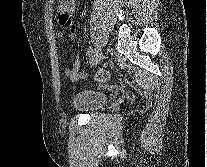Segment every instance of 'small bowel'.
Returning <instances> with one entry per match:
<instances>
[{"instance_id": "obj_1", "label": "small bowel", "mask_w": 207, "mask_h": 167, "mask_svg": "<svg viewBox=\"0 0 207 167\" xmlns=\"http://www.w3.org/2000/svg\"><path fill=\"white\" fill-rule=\"evenodd\" d=\"M76 2L77 0H58L57 3V22L61 25L66 27L69 30L70 37L73 40L76 36V25L74 24L72 20V16L75 12L76 8ZM59 37H63L64 33L60 31L58 33ZM82 60L84 62H88L90 60L89 55L83 56ZM81 60L78 56L74 58L73 66L71 68L66 67L64 69L65 75L71 80V81H78L83 80L86 78V73L80 70Z\"/></svg>"}]
</instances>
